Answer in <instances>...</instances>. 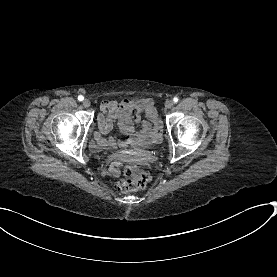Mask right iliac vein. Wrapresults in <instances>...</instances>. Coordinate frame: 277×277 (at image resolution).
<instances>
[{
    "label": "right iliac vein",
    "mask_w": 277,
    "mask_h": 277,
    "mask_svg": "<svg viewBox=\"0 0 277 277\" xmlns=\"http://www.w3.org/2000/svg\"><path fill=\"white\" fill-rule=\"evenodd\" d=\"M82 104H83L84 107H89L90 106V101L88 99H85V100H83Z\"/></svg>",
    "instance_id": "1"
}]
</instances>
